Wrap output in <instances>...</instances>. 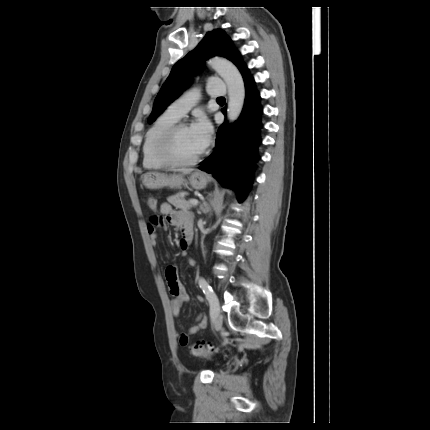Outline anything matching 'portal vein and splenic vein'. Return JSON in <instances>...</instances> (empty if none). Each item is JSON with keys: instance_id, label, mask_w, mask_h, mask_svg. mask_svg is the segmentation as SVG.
Listing matches in <instances>:
<instances>
[{"instance_id": "portal-vein-and-splenic-vein-1", "label": "portal vein and splenic vein", "mask_w": 430, "mask_h": 430, "mask_svg": "<svg viewBox=\"0 0 430 430\" xmlns=\"http://www.w3.org/2000/svg\"><path fill=\"white\" fill-rule=\"evenodd\" d=\"M190 203L193 205H197L198 204V200L197 199H190Z\"/></svg>"}]
</instances>
